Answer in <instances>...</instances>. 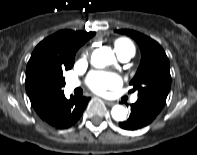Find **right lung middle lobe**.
<instances>
[{
  "label": "right lung middle lobe",
  "instance_id": "1",
  "mask_svg": "<svg viewBox=\"0 0 197 155\" xmlns=\"http://www.w3.org/2000/svg\"><path fill=\"white\" fill-rule=\"evenodd\" d=\"M74 65V60H71L65 64L64 69L59 68V70L54 75H44L42 81L46 84H60L65 85V79L63 77V71L71 69Z\"/></svg>",
  "mask_w": 197,
  "mask_h": 155
}]
</instances>
